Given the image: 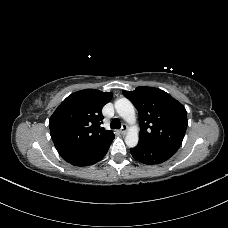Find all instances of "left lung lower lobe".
I'll return each instance as SVG.
<instances>
[{
  "instance_id": "obj_1",
  "label": "left lung lower lobe",
  "mask_w": 228,
  "mask_h": 228,
  "mask_svg": "<svg viewBox=\"0 0 228 228\" xmlns=\"http://www.w3.org/2000/svg\"><path fill=\"white\" fill-rule=\"evenodd\" d=\"M176 149L164 146L139 144L131 148L130 152L134 159L144 164H160L165 162L176 153Z\"/></svg>"
}]
</instances>
